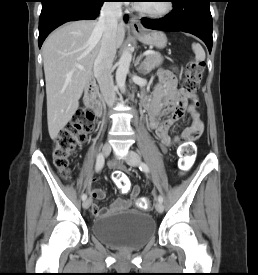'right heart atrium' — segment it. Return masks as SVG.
Instances as JSON below:
<instances>
[{
	"mask_svg": "<svg viewBox=\"0 0 258 275\" xmlns=\"http://www.w3.org/2000/svg\"><path fill=\"white\" fill-rule=\"evenodd\" d=\"M114 1H116V2H121V0H114Z\"/></svg>",
	"mask_w": 258,
	"mask_h": 275,
	"instance_id": "d8ad5b80",
	"label": "right heart atrium"
}]
</instances>
